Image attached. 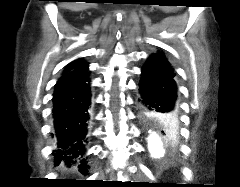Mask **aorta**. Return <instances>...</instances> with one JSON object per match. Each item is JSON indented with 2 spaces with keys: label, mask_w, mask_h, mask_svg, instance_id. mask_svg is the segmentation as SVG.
<instances>
[{
  "label": "aorta",
  "mask_w": 240,
  "mask_h": 187,
  "mask_svg": "<svg viewBox=\"0 0 240 187\" xmlns=\"http://www.w3.org/2000/svg\"><path fill=\"white\" fill-rule=\"evenodd\" d=\"M147 143L152 157L158 158L164 154V142L156 130L148 131Z\"/></svg>",
  "instance_id": "1"
}]
</instances>
